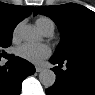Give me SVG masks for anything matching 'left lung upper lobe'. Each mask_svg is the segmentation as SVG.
I'll use <instances>...</instances> for the list:
<instances>
[{"instance_id":"obj_1","label":"left lung upper lobe","mask_w":95,"mask_h":95,"mask_svg":"<svg viewBox=\"0 0 95 95\" xmlns=\"http://www.w3.org/2000/svg\"><path fill=\"white\" fill-rule=\"evenodd\" d=\"M34 14L49 16L59 27L61 43L54 57L67 60L78 57H95V13L74 3L41 6Z\"/></svg>"}]
</instances>
